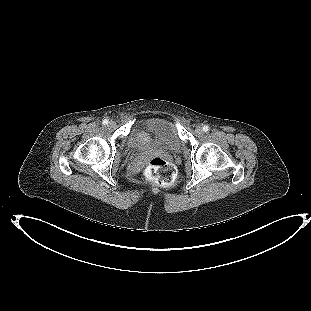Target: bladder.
Segmentation results:
<instances>
[{"label":"bladder","mask_w":311,"mask_h":311,"mask_svg":"<svg viewBox=\"0 0 311 311\" xmlns=\"http://www.w3.org/2000/svg\"><path fill=\"white\" fill-rule=\"evenodd\" d=\"M128 144L131 149L140 151L160 149L176 152L181 147V139L173 122L153 117L130 133Z\"/></svg>","instance_id":"31cf9c89"}]
</instances>
